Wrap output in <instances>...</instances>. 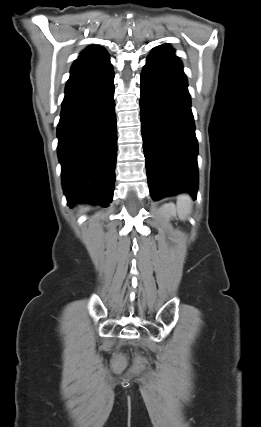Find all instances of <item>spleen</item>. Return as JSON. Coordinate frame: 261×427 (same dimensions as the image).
Returning a JSON list of instances; mask_svg holds the SVG:
<instances>
[{
	"mask_svg": "<svg viewBox=\"0 0 261 427\" xmlns=\"http://www.w3.org/2000/svg\"><path fill=\"white\" fill-rule=\"evenodd\" d=\"M192 209V199L188 194H181L177 198V211L181 220H185Z\"/></svg>",
	"mask_w": 261,
	"mask_h": 427,
	"instance_id": "spleen-1",
	"label": "spleen"
}]
</instances>
